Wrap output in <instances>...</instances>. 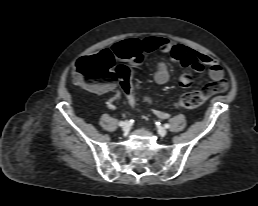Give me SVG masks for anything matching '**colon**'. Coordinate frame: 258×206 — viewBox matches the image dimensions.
<instances>
[{
  "label": "colon",
  "instance_id": "colon-1",
  "mask_svg": "<svg viewBox=\"0 0 258 206\" xmlns=\"http://www.w3.org/2000/svg\"><path fill=\"white\" fill-rule=\"evenodd\" d=\"M138 71V64L115 65L114 57L107 52H100L83 57L73 66V80L84 87L120 81L128 102L133 105L135 95L139 89V82L134 79ZM227 90V82L220 80L205 85L200 91L184 94L177 105L192 109L202 105L209 97Z\"/></svg>",
  "mask_w": 258,
  "mask_h": 206
}]
</instances>
